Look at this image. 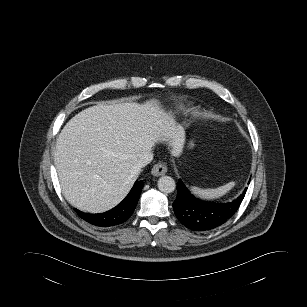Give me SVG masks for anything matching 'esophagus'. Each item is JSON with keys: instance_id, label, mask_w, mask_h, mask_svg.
<instances>
[{"instance_id": "34e87169", "label": "esophagus", "mask_w": 307, "mask_h": 307, "mask_svg": "<svg viewBox=\"0 0 307 307\" xmlns=\"http://www.w3.org/2000/svg\"><path fill=\"white\" fill-rule=\"evenodd\" d=\"M167 172V167L162 163H157L151 169V173L154 176H161Z\"/></svg>"}]
</instances>
